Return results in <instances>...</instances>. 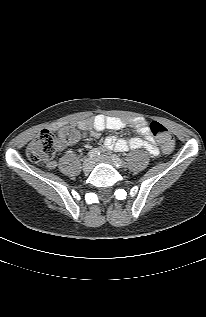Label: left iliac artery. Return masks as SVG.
<instances>
[{
  "label": "left iliac artery",
  "instance_id": "left-iliac-artery-1",
  "mask_svg": "<svg viewBox=\"0 0 206 317\" xmlns=\"http://www.w3.org/2000/svg\"><path fill=\"white\" fill-rule=\"evenodd\" d=\"M113 162L120 167L124 166V161L120 159L116 154L111 155Z\"/></svg>",
  "mask_w": 206,
  "mask_h": 317
}]
</instances>
